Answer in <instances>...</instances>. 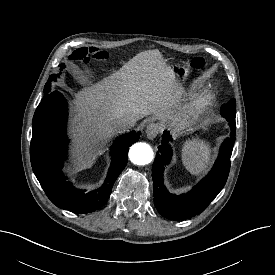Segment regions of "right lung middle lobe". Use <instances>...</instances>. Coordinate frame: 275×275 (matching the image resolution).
<instances>
[{
  "mask_svg": "<svg viewBox=\"0 0 275 275\" xmlns=\"http://www.w3.org/2000/svg\"><path fill=\"white\" fill-rule=\"evenodd\" d=\"M61 67L64 68V64H62ZM60 70H61V69H60ZM50 84H51V80H49V81L47 82V84L45 85V88H44V91H43L45 95H47V93L50 91Z\"/></svg>",
  "mask_w": 275,
  "mask_h": 275,
  "instance_id": "1",
  "label": "right lung middle lobe"
}]
</instances>
